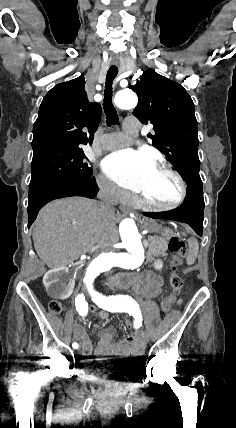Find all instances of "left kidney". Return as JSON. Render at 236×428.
Returning <instances> with one entry per match:
<instances>
[{"mask_svg": "<svg viewBox=\"0 0 236 428\" xmlns=\"http://www.w3.org/2000/svg\"><path fill=\"white\" fill-rule=\"evenodd\" d=\"M153 266H154L155 270H162V268H163L162 260H155Z\"/></svg>", "mask_w": 236, "mask_h": 428, "instance_id": "1", "label": "left kidney"}]
</instances>
